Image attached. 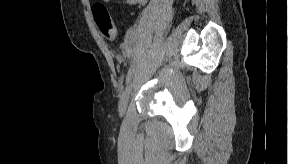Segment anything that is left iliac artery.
<instances>
[{"label": "left iliac artery", "mask_w": 288, "mask_h": 164, "mask_svg": "<svg viewBox=\"0 0 288 164\" xmlns=\"http://www.w3.org/2000/svg\"><path fill=\"white\" fill-rule=\"evenodd\" d=\"M133 77V72L132 71H129L127 76H126V83H128Z\"/></svg>", "instance_id": "obj_1"}]
</instances>
